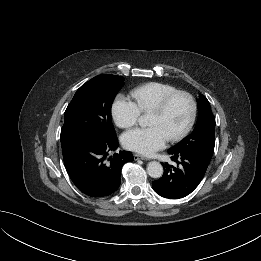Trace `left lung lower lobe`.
<instances>
[{"label":"left lung lower lobe","instance_id":"0a47b994","mask_svg":"<svg viewBox=\"0 0 261 261\" xmlns=\"http://www.w3.org/2000/svg\"><path fill=\"white\" fill-rule=\"evenodd\" d=\"M175 163L163 165V176L152 182L154 191L170 199H179L189 195L203 179L209 163L201 157L187 151L168 150Z\"/></svg>","mask_w":261,"mask_h":261}]
</instances>
